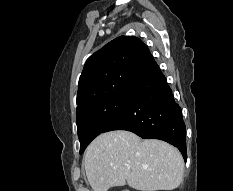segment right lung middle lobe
Instances as JSON below:
<instances>
[{
  "instance_id": "obj_1",
  "label": "right lung middle lobe",
  "mask_w": 233,
  "mask_h": 191,
  "mask_svg": "<svg viewBox=\"0 0 233 191\" xmlns=\"http://www.w3.org/2000/svg\"><path fill=\"white\" fill-rule=\"evenodd\" d=\"M129 93L106 97L76 112L80 153L127 106Z\"/></svg>"
}]
</instances>
